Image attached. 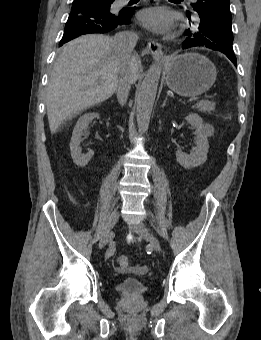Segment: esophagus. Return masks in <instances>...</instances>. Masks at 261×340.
I'll use <instances>...</instances> for the list:
<instances>
[{"label": "esophagus", "instance_id": "1", "mask_svg": "<svg viewBox=\"0 0 261 340\" xmlns=\"http://www.w3.org/2000/svg\"><path fill=\"white\" fill-rule=\"evenodd\" d=\"M145 51L150 52L153 58L158 59L162 56V45L158 42L150 41L148 42Z\"/></svg>", "mask_w": 261, "mask_h": 340}]
</instances>
